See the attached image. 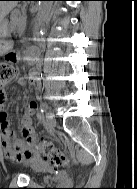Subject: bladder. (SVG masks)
<instances>
[{
    "instance_id": "obj_1",
    "label": "bladder",
    "mask_w": 137,
    "mask_h": 189,
    "mask_svg": "<svg viewBox=\"0 0 137 189\" xmlns=\"http://www.w3.org/2000/svg\"><path fill=\"white\" fill-rule=\"evenodd\" d=\"M50 169V165L45 162L36 163L35 171L38 173H47Z\"/></svg>"
}]
</instances>
